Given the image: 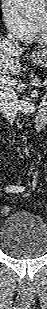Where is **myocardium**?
<instances>
[{"label": "myocardium", "instance_id": "myocardium-1", "mask_svg": "<svg viewBox=\"0 0 47 309\" xmlns=\"http://www.w3.org/2000/svg\"><path fill=\"white\" fill-rule=\"evenodd\" d=\"M35 32L38 36H41L44 32V30L42 31L37 25L35 26Z\"/></svg>", "mask_w": 47, "mask_h": 309}]
</instances>
